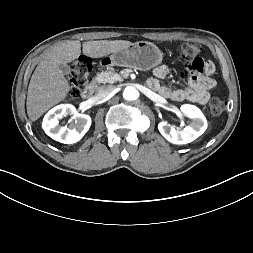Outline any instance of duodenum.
I'll return each mask as SVG.
<instances>
[{
  "instance_id": "1",
  "label": "duodenum",
  "mask_w": 253,
  "mask_h": 253,
  "mask_svg": "<svg viewBox=\"0 0 253 253\" xmlns=\"http://www.w3.org/2000/svg\"><path fill=\"white\" fill-rule=\"evenodd\" d=\"M95 87H96V81H92L89 85H87L85 87V89L83 90V97L85 99H89L92 97L94 91H95Z\"/></svg>"
}]
</instances>
